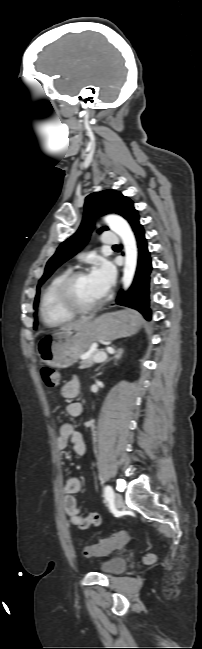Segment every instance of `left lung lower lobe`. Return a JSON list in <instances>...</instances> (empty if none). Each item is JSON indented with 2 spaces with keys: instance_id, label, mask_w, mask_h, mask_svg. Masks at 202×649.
<instances>
[{
  "instance_id": "1",
  "label": "left lung lower lobe",
  "mask_w": 202,
  "mask_h": 649,
  "mask_svg": "<svg viewBox=\"0 0 202 649\" xmlns=\"http://www.w3.org/2000/svg\"><path fill=\"white\" fill-rule=\"evenodd\" d=\"M138 246V264L134 281L127 292L120 291L116 303L139 311L146 320L151 319L149 308V282L152 270L150 252L144 235V228L136 215L129 222Z\"/></svg>"
}]
</instances>
